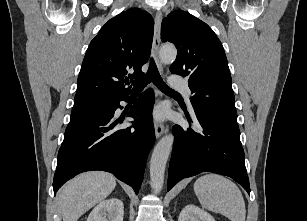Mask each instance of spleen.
Here are the masks:
<instances>
[{
  "label": "spleen",
  "instance_id": "obj_1",
  "mask_svg": "<svg viewBox=\"0 0 307 221\" xmlns=\"http://www.w3.org/2000/svg\"><path fill=\"white\" fill-rule=\"evenodd\" d=\"M194 191L203 208L231 221H245L242 193L231 180L218 174H205L194 183Z\"/></svg>",
  "mask_w": 307,
  "mask_h": 221
}]
</instances>
